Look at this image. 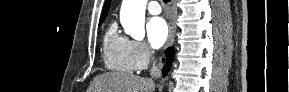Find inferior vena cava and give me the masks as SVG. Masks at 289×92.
I'll list each match as a JSON object with an SVG mask.
<instances>
[{"instance_id": "inferior-vena-cava-1", "label": "inferior vena cava", "mask_w": 289, "mask_h": 92, "mask_svg": "<svg viewBox=\"0 0 289 92\" xmlns=\"http://www.w3.org/2000/svg\"><path fill=\"white\" fill-rule=\"evenodd\" d=\"M153 51L150 50V55L152 56ZM151 78H159L161 75L160 68L156 65V62L153 61L152 67L150 69Z\"/></svg>"}]
</instances>
